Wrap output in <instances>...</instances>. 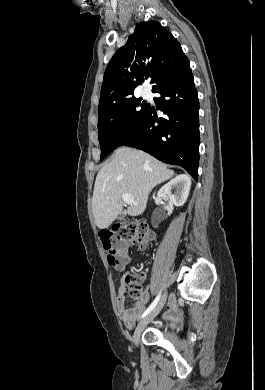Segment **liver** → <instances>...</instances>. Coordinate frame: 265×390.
Instances as JSON below:
<instances>
[{
    "instance_id": "liver-1",
    "label": "liver",
    "mask_w": 265,
    "mask_h": 390,
    "mask_svg": "<svg viewBox=\"0 0 265 390\" xmlns=\"http://www.w3.org/2000/svg\"><path fill=\"white\" fill-rule=\"evenodd\" d=\"M173 176V170L149 154L129 147L118 148L96 176L92 198L96 226L108 228L117 218L123 209V194L133 196L137 202L128 207L127 214L141 215L151 190Z\"/></svg>"
}]
</instances>
